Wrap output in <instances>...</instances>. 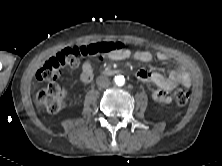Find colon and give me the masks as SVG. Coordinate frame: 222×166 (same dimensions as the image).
Wrapping results in <instances>:
<instances>
[{
    "label": "colon",
    "instance_id": "5ec220e1",
    "mask_svg": "<svg viewBox=\"0 0 222 166\" xmlns=\"http://www.w3.org/2000/svg\"><path fill=\"white\" fill-rule=\"evenodd\" d=\"M123 48L121 43L102 42L83 46L67 47L49 58L36 73V78L49 82V85L38 92L36 100L38 104L51 113L58 112L64 105L66 92L56 82L61 70L65 67H73L83 59H102L110 53ZM175 102L179 107L187 104L189 94L186 90L179 89L175 93Z\"/></svg>",
    "mask_w": 222,
    "mask_h": 166
}]
</instances>
